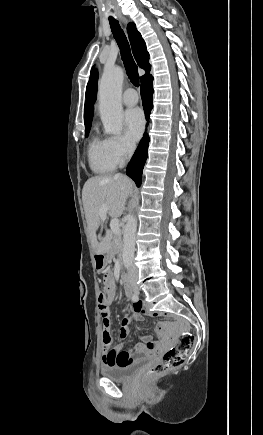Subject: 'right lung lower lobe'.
Masks as SVG:
<instances>
[{
	"label": "right lung lower lobe",
	"mask_w": 263,
	"mask_h": 435,
	"mask_svg": "<svg viewBox=\"0 0 263 435\" xmlns=\"http://www.w3.org/2000/svg\"><path fill=\"white\" fill-rule=\"evenodd\" d=\"M152 82L153 77L150 74L147 75L143 80H141V98L147 121L149 120V115L153 108L152 95L154 91ZM148 143L149 137L145 133L127 167L128 176L135 181L138 187L141 185L142 182L143 167L148 154Z\"/></svg>",
	"instance_id": "right-lung-lower-lobe-1"
}]
</instances>
